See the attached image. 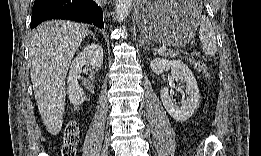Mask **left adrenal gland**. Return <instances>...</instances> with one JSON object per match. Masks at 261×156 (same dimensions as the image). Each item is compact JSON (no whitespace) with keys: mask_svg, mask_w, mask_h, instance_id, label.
I'll return each mask as SVG.
<instances>
[{"mask_svg":"<svg viewBox=\"0 0 261 156\" xmlns=\"http://www.w3.org/2000/svg\"><path fill=\"white\" fill-rule=\"evenodd\" d=\"M145 45L149 46V43H148V41L146 40V38L143 36V37L141 38V40H140V46H145Z\"/></svg>","mask_w":261,"mask_h":156,"instance_id":"left-adrenal-gland-1","label":"left adrenal gland"}]
</instances>
